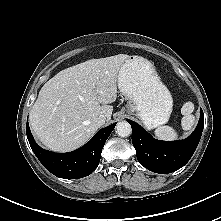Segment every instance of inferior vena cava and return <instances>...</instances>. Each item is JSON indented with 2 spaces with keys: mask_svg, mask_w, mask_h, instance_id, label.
Masks as SVG:
<instances>
[{
  "mask_svg": "<svg viewBox=\"0 0 221 221\" xmlns=\"http://www.w3.org/2000/svg\"><path fill=\"white\" fill-rule=\"evenodd\" d=\"M96 122H97L98 124H100V125H103V124L105 123V116H104V115H100V116L97 118Z\"/></svg>",
  "mask_w": 221,
  "mask_h": 221,
  "instance_id": "602c4592",
  "label": "inferior vena cava"
}]
</instances>
